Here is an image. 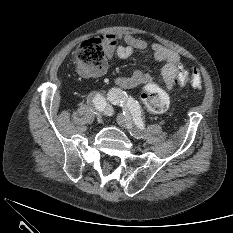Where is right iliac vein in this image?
Returning a JSON list of instances; mask_svg holds the SVG:
<instances>
[{"label":"right iliac vein","instance_id":"63e3f726","mask_svg":"<svg viewBox=\"0 0 233 233\" xmlns=\"http://www.w3.org/2000/svg\"><path fill=\"white\" fill-rule=\"evenodd\" d=\"M96 119H97V122H98V123H101V122H102L103 117H102L101 113H96Z\"/></svg>","mask_w":233,"mask_h":233}]
</instances>
